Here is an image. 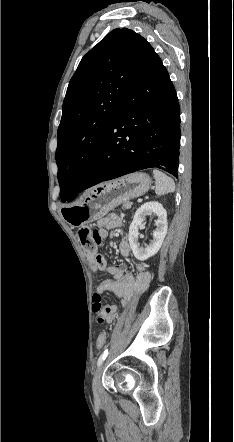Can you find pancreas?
Returning a JSON list of instances; mask_svg holds the SVG:
<instances>
[{
	"label": "pancreas",
	"instance_id": "1",
	"mask_svg": "<svg viewBox=\"0 0 234 442\" xmlns=\"http://www.w3.org/2000/svg\"><path fill=\"white\" fill-rule=\"evenodd\" d=\"M131 206H132V202H125L124 204H123V206H122V208L123 209H129V208H131Z\"/></svg>",
	"mask_w": 234,
	"mask_h": 442
}]
</instances>
